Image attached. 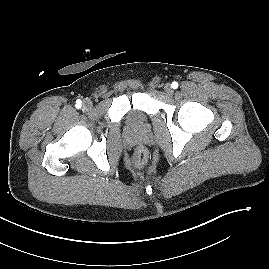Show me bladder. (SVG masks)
<instances>
[{
	"label": "bladder",
	"instance_id": "obj_1",
	"mask_svg": "<svg viewBox=\"0 0 269 269\" xmlns=\"http://www.w3.org/2000/svg\"><path fill=\"white\" fill-rule=\"evenodd\" d=\"M128 120L132 125H140L143 122L144 118L140 112L133 111L130 113Z\"/></svg>",
	"mask_w": 269,
	"mask_h": 269
}]
</instances>
